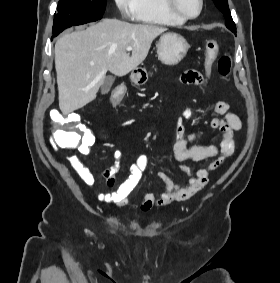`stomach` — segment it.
<instances>
[{"mask_svg":"<svg viewBox=\"0 0 280 283\" xmlns=\"http://www.w3.org/2000/svg\"><path fill=\"white\" fill-rule=\"evenodd\" d=\"M189 44L186 39L175 32L163 34L157 44L158 59L166 65H177L186 56ZM133 73L131 80L135 84L143 83L145 80V71Z\"/></svg>","mask_w":280,"mask_h":283,"instance_id":"1","label":"stomach"}]
</instances>
